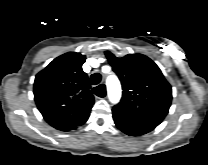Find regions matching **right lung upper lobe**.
I'll use <instances>...</instances> for the list:
<instances>
[{
  "label": "right lung upper lobe",
  "mask_w": 208,
  "mask_h": 165,
  "mask_svg": "<svg viewBox=\"0 0 208 165\" xmlns=\"http://www.w3.org/2000/svg\"><path fill=\"white\" fill-rule=\"evenodd\" d=\"M85 60L84 55L69 52L36 75V105L45 121L57 130L70 131L88 120L94 96L82 69Z\"/></svg>",
  "instance_id": "1"
}]
</instances>
